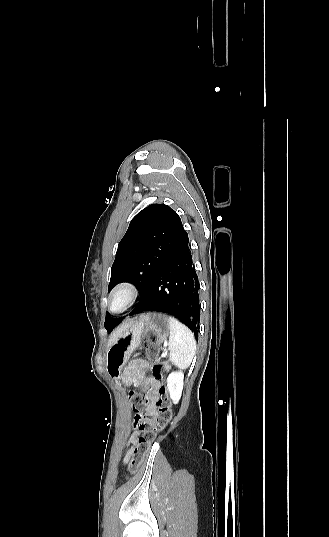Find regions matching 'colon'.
Segmentation results:
<instances>
[{
	"mask_svg": "<svg viewBox=\"0 0 329 537\" xmlns=\"http://www.w3.org/2000/svg\"><path fill=\"white\" fill-rule=\"evenodd\" d=\"M145 351L147 357L152 360L158 357L159 349L158 346L154 343L146 344ZM153 373L157 378H162L160 366H154ZM137 388V391H132V393L129 394V400L132 410L137 414L135 425L140 430L141 435L138 438L137 445L134 449L133 457L128 466V471L130 474H134L138 470L146 454L150 450L157 433L163 430L172 418L171 403L165 385H161L158 389V414L155 420L152 422L148 421L145 418H142L140 414L147 403L145 385L140 382V385Z\"/></svg>",
	"mask_w": 329,
	"mask_h": 537,
	"instance_id": "5ec220e1",
	"label": "colon"
}]
</instances>
